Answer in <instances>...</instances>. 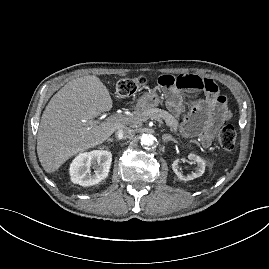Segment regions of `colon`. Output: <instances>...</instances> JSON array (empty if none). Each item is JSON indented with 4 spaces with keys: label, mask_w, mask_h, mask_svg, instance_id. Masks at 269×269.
Returning a JSON list of instances; mask_svg holds the SVG:
<instances>
[{
    "label": "colon",
    "mask_w": 269,
    "mask_h": 269,
    "mask_svg": "<svg viewBox=\"0 0 269 269\" xmlns=\"http://www.w3.org/2000/svg\"><path fill=\"white\" fill-rule=\"evenodd\" d=\"M144 84V77L140 76L135 78H126L118 82L117 92L121 96H132L139 92L140 89L144 86ZM236 139V130L232 125H225L221 127L216 134L217 144L226 151H231L234 149Z\"/></svg>",
    "instance_id": "obj_1"
}]
</instances>
